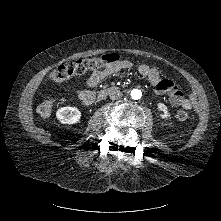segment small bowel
Segmentation results:
<instances>
[{
  "label": "small bowel",
  "instance_id": "1",
  "mask_svg": "<svg viewBox=\"0 0 221 221\" xmlns=\"http://www.w3.org/2000/svg\"><path fill=\"white\" fill-rule=\"evenodd\" d=\"M131 66L132 64L128 61H119L104 70L91 71L86 77V85L90 88H94L98 86L101 80L107 75L130 68ZM137 70L140 75L146 77L151 83L153 94L168 95L169 101L175 107L183 109H189L191 107L190 100L184 97L181 89L173 81L164 79L157 69L146 64H141ZM78 96L83 102L88 103L94 98V92L89 89H81L78 91Z\"/></svg>",
  "mask_w": 221,
  "mask_h": 221
}]
</instances>
